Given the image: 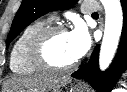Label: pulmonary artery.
<instances>
[{
	"mask_svg": "<svg viewBox=\"0 0 127 92\" xmlns=\"http://www.w3.org/2000/svg\"><path fill=\"white\" fill-rule=\"evenodd\" d=\"M100 9L99 5L96 3H86L81 7V12L84 14L94 13Z\"/></svg>",
	"mask_w": 127,
	"mask_h": 92,
	"instance_id": "obj_1",
	"label": "pulmonary artery"
}]
</instances>
